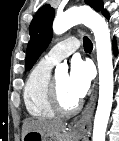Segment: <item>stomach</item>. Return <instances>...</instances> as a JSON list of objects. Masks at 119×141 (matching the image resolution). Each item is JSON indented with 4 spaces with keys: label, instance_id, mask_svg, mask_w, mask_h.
<instances>
[{
    "label": "stomach",
    "instance_id": "stomach-1",
    "mask_svg": "<svg viewBox=\"0 0 119 141\" xmlns=\"http://www.w3.org/2000/svg\"><path fill=\"white\" fill-rule=\"evenodd\" d=\"M77 136L73 133H42L40 131H28L22 141H76Z\"/></svg>",
    "mask_w": 119,
    "mask_h": 141
}]
</instances>
